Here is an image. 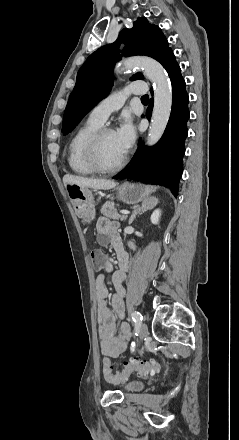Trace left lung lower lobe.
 <instances>
[{
	"label": "left lung lower lobe",
	"mask_w": 239,
	"mask_h": 440,
	"mask_svg": "<svg viewBox=\"0 0 239 440\" xmlns=\"http://www.w3.org/2000/svg\"><path fill=\"white\" fill-rule=\"evenodd\" d=\"M162 66L167 70L173 88L172 110L165 132L153 147L141 145L140 138L139 148L131 164L114 178L127 177L164 182L172 188V192L176 196L179 178L182 174V157L185 153L184 141L188 134L189 97L185 81L181 76V69L172 50L167 54ZM151 93L153 94L152 89ZM152 108L153 99L150 100L147 109L146 117L148 119L151 117Z\"/></svg>",
	"instance_id": "left-lung-lower-lobe-1"
}]
</instances>
